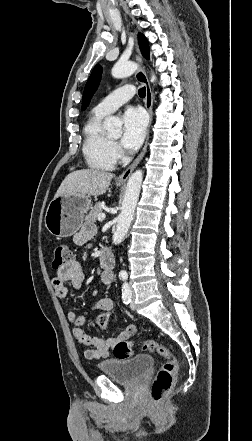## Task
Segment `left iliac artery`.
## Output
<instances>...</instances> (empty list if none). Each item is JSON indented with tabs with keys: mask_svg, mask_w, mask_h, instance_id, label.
Here are the masks:
<instances>
[{
	"mask_svg": "<svg viewBox=\"0 0 252 441\" xmlns=\"http://www.w3.org/2000/svg\"><path fill=\"white\" fill-rule=\"evenodd\" d=\"M120 277H121L123 280H126V279L128 278V275H127L126 272H122V273L120 274Z\"/></svg>",
	"mask_w": 252,
	"mask_h": 441,
	"instance_id": "obj_1",
	"label": "left iliac artery"
}]
</instances>
